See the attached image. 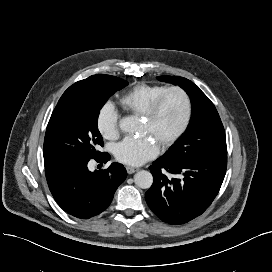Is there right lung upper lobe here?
I'll list each match as a JSON object with an SVG mask.
<instances>
[{
    "instance_id": "cb5924a9",
    "label": "right lung upper lobe",
    "mask_w": 272,
    "mask_h": 272,
    "mask_svg": "<svg viewBox=\"0 0 272 272\" xmlns=\"http://www.w3.org/2000/svg\"><path fill=\"white\" fill-rule=\"evenodd\" d=\"M96 75H93V76H90L89 78L87 79H84V80H81V81H78L76 83H74L72 86H70L65 92L64 94L62 95V97L66 96V95H70V94H73L75 92H77L78 90L84 88L88 82ZM61 97V98H62Z\"/></svg>"
}]
</instances>
